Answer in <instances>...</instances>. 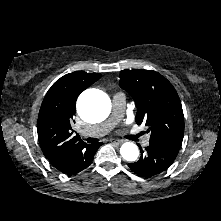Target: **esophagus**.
Here are the masks:
<instances>
[{
    "mask_svg": "<svg viewBox=\"0 0 221 221\" xmlns=\"http://www.w3.org/2000/svg\"><path fill=\"white\" fill-rule=\"evenodd\" d=\"M111 143L120 145L121 143H123V140H111Z\"/></svg>",
    "mask_w": 221,
    "mask_h": 221,
    "instance_id": "34e87169",
    "label": "esophagus"
}]
</instances>
